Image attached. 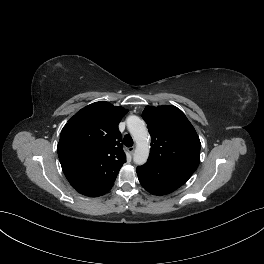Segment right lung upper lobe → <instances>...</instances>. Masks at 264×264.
<instances>
[{
    "instance_id": "right-lung-upper-lobe-1",
    "label": "right lung upper lobe",
    "mask_w": 264,
    "mask_h": 264,
    "mask_svg": "<svg viewBox=\"0 0 264 264\" xmlns=\"http://www.w3.org/2000/svg\"><path fill=\"white\" fill-rule=\"evenodd\" d=\"M127 112L109 102H95L78 111L62 129L59 160L79 193L95 197L112 188L126 162L118 124Z\"/></svg>"
}]
</instances>
